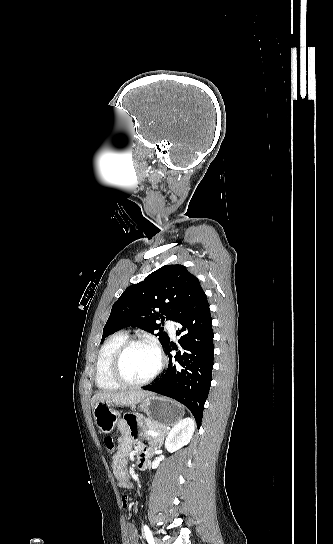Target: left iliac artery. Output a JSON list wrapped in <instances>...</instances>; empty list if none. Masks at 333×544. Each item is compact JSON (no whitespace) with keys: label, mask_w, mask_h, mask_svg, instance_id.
<instances>
[{"label":"left iliac artery","mask_w":333,"mask_h":544,"mask_svg":"<svg viewBox=\"0 0 333 544\" xmlns=\"http://www.w3.org/2000/svg\"><path fill=\"white\" fill-rule=\"evenodd\" d=\"M144 534L149 544H154L152 532L147 525L144 526Z\"/></svg>","instance_id":"1"}]
</instances>
